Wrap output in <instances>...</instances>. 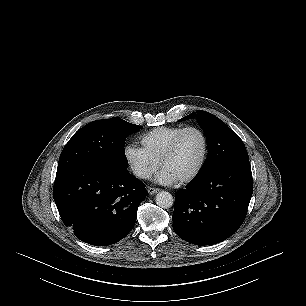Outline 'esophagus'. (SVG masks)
<instances>
[{"instance_id": "esophagus-1", "label": "esophagus", "mask_w": 306, "mask_h": 306, "mask_svg": "<svg viewBox=\"0 0 306 306\" xmlns=\"http://www.w3.org/2000/svg\"><path fill=\"white\" fill-rule=\"evenodd\" d=\"M159 191H160V189H158V188H153V187L148 188V193L150 195H154V194L158 193Z\"/></svg>"}]
</instances>
